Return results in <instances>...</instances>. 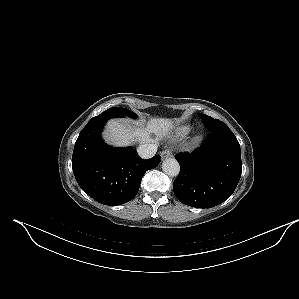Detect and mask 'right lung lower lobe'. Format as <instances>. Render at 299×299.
<instances>
[{
	"mask_svg": "<svg viewBox=\"0 0 299 299\" xmlns=\"http://www.w3.org/2000/svg\"><path fill=\"white\" fill-rule=\"evenodd\" d=\"M119 117L103 112L81 130L74 146L72 168L81 189L104 205H120L138 193L147 170L160 163V156L144 160L132 147L115 148L101 138L105 123Z\"/></svg>",
	"mask_w": 299,
	"mask_h": 299,
	"instance_id": "right-lung-lower-lobe-1",
	"label": "right lung lower lobe"
}]
</instances>
